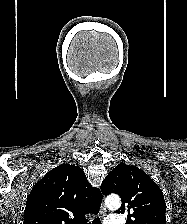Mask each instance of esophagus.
Here are the masks:
<instances>
[{
    "label": "esophagus",
    "instance_id": "34e87169",
    "mask_svg": "<svg viewBox=\"0 0 187 224\" xmlns=\"http://www.w3.org/2000/svg\"><path fill=\"white\" fill-rule=\"evenodd\" d=\"M106 213H107V209H106L104 203L102 202L101 207H100V216L103 218L106 216Z\"/></svg>",
    "mask_w": 187,
    "mask_h": 224
}]
</instances>
